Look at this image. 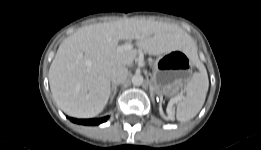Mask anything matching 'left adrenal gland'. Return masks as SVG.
Wrapping results in <instances>:
<instances>
[{"label":"left adrenal gland","mask_w":261,"mask_h":150,"mask_svg":"<svg viewBox=\"0 0 261 150\" xmlns=\"http://www.w3.org/2000/svg\"><path fill=\"white\" fill-rule=\"evenodd\" d=\"M149 89H150V94L152 95V85H151V82H149Z\"/></svg>","instance_id":"left-adrenal-gland-1"}]
</instances>
